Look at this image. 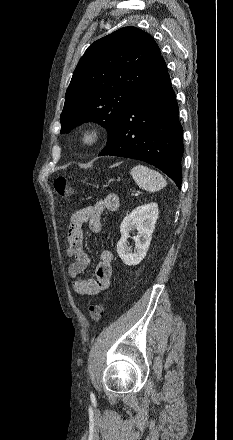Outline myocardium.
Returning a JSON list of instances; mask_svg holds the SVG:
<instances>
[{"label": "myocardium", "instance_id": "myocardium-1", "mask_svg": "<svg viewBox=\"0 0 233 440\" xmlns=\"http://www.w3.org/2000/svg\"><path fill=\"white\" fill-rule=\"evenodd\" d=\"M104 138V131L98 125H86L78 134V143L81 147L90 149L98 146Z\"/></svg>", "mask_w": 233, "mask_h": 440}]
</instances>
